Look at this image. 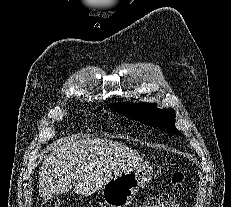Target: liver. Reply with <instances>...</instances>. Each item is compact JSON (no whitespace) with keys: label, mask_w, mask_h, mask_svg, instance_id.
Returning a JSON list of instances; mask_svg holds the SVG:
<instances>
[{"label":"liver","mask_w":231,"mask_h":207,"mask_svg":"<svg viewBox=\"0 0 231 207\" xmlns=\"http://www.w3.org/2000/svg\"><path fill=\"white\" fill-rule=\"evenodd\" d=\"M141 156L126 146L97 138L72 136L51 146L39 172L42 198L68 193L87 196L121 170L140 164Z\"/></svg>","instance_id":"obj_1"}]
</instances>
